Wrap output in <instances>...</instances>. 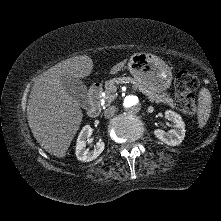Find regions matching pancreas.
Returning <instances> with one entry per match:
<instances>
[{
	"label": "pancreas",
	"instance_id": "cf45deb5",
	"mask_svg": "<svg viewBox=\"0 0 221 221\" xmlns=\"http://www.w3.org/2000/svg\"><path fill=\"white\" fill-rule=\"evenodd\" d=\"M120 83H133L134 88L146 95L150 101H154L156 103H164L172 108L174 107V101L169 95L165 93L157 94L153 91H150L131 77L113 78L105 83V96L103 98L107 105L114 101V99L116 98V94H114L117 90L116 84Z\"/></svg>",
	"mask_w": 221,
	"mask_h": 221
}]
</instances>
